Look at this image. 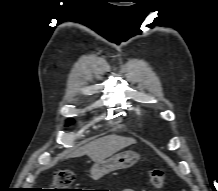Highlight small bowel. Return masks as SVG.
I'll use <instances>...</instances> for the list:
<instances>
[{"label": "small bowel", "mask_w": 218, "mask_h": 191, "mask_svg": "<svg viewBox=\"0 0 218 191\" xmlns=\"http://www.w3.org/2000/svg\"><path fill=\"white\" fill-rule=\"evenodd\" d=\"M122 191H134L133 189H124Z\"/></svg>", "instance_id": "obj_1"}]
</instances>
